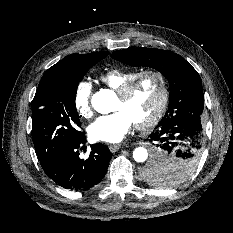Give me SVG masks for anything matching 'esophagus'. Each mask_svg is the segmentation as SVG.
I'll return each instance as SVG.
<instances>
[{
  "instance_id": "esophagus-1",
  "label": "esophagus",
  "mask_w": 233,
  "mask_h": 233,
  "mask_svg": "<svg viewBox=\"0 0 233 233\" xmlns=\"http://www.w3.org/2000/svg\"><path fill=\"white\" fill-rule=\"evenodd\" d=\"M121 147L120 144H110L109 145V149L112 153L118 151V149Z\"/></svg>"
}]
</instances>
